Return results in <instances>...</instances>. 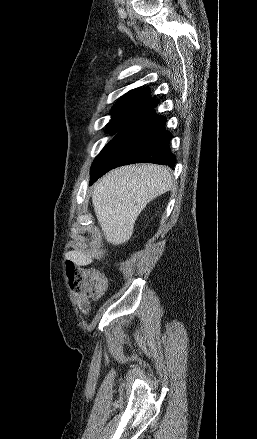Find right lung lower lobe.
Wrapping results in <instances>:
<instances>
[{
	"mask_svg": "<svg viewBox=\"0 0 257 439\" xmlns=\"http://www.w3.org/2000/svg\"><path fill=\"white\" fill-rule=\"evenodd\" d=\"M155 106L126 122L103 148L91 166L90 185L122 165L149 162L174 168L176 158L169 148L171 134L165 129V117L154 114Z\"/></svg>",
	"mask_w": 257,
	"mask_h": 439,
	"instance_id": "1",
	"label": "right lung lower lobe"
}]
</instances>
